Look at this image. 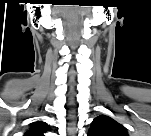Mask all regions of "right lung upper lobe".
Masks as SVG:
<instances>
[{"instance_id": "right-lung-upper-lobe-1", "label": "right lung upper lobe", "mask_w": 151, "mask_h": 136, "mask_svg": "<svg viewBox=\"0 0 151 136\" xmlns=\"http://www.w3.org/2000/svg\"><path fill=\"white\" fill-rule=\"evenodd\" d=\"M48 131L47 123L36 121L31 124L30 129L25 133V136H44Z\"/></svg>"}]
</instances>
